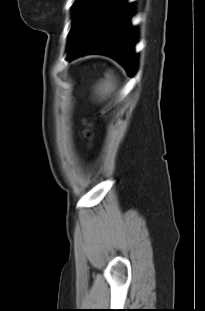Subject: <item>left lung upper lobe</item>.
<instances>
[{"mask_svg":"<svg viewBox=\"0 0 205 311\" xmlns=\"http://www.w3.org/2000/svg\"><path fill=\"white\" fill-rule=\"evenodd\" d=\"M120 0H76L73 24L69 32L68 51L76 48L113 12Z\"/></svg>","mask_w":205,"mask_h":311,"instance_id":"obj_1","label":"left lung upper lobe"}]
</instances>
